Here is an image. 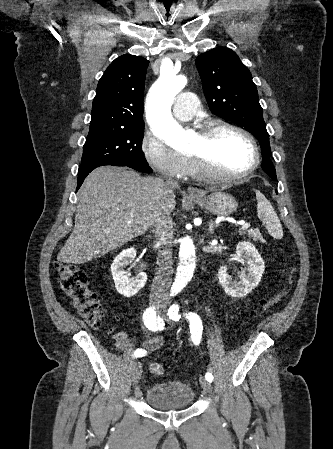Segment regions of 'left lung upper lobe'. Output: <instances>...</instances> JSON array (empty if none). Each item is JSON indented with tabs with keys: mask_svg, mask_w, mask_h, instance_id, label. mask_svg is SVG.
Segmentation results:
<instances>
[{
	"mask_svg": "<svg viewBox=\"0 0 333 449\" xmlns=\"http://www.w3.org/2000/svg\"><path fill=\"white\" fill-rule=\"evenodd\" d=\"M196 67L210 110L217 116L240 124L258 139L262 150V169L277 180L269 158L271 150L263 109L249 69L234 51L225 47L199 55Z\"/></svg>",
	"mask_w": 333,
	"mask_h": 449,
	"instance_id": "obj_1",
	"label": "left lung upper lobe"
}]
</instances>
